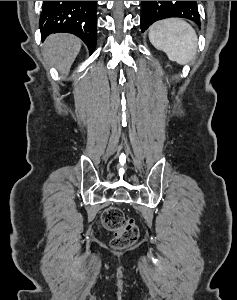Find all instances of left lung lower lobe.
Wrapping results in <instances>:
<instances>
[{"label":"left lung lower lobe","mask_w":237,"mask_h":300,"mask_svg":"<svg viewBox=\"0 0 237 300\" xmlns=\"http://www.w3.org/2000/svg\"><path fill=\"white\" fill-rule=\"evenodd\" d=\"M172 2L181 8L193 9L194 12H196L197 15H199L195 1H172Z\"/></svg>","instance_id":"0a47b994"}]
</instances>
